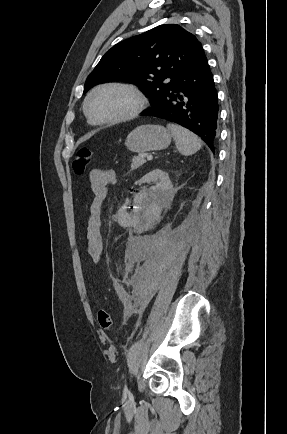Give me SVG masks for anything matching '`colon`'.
I'll return each mask as SVG.
<instances>
[{
  "instance_id": "colon-1",
  "label": "colon",
  "mask_w": 287,
  "mask_h": 434,
  "mask_svg": "<svg viewBox=\"0 0 287 434\" xmlns=\"http://www.w3.org/2000/svg\"><path fill=\"white\" fill-rule=\"evenodd\" d=\"M92 157V151L89 148L80 149L72 163V168L76 174H83ZM97 319L100 327L105 331H111L114 327V318L112 314L104 309H101L97 313Z\"/></svg>"
}]
</instances>
